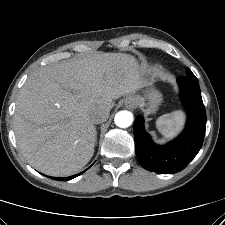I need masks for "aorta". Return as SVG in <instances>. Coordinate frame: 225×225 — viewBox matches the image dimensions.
Instances as JSON below:
<instances>
[{
	"instance_id": "1",
	"label": "aorta",
	"mask_w": 225,
	"mask_h": 225,
	"mask_svg": "<svg viewBox=\"0 0 225 225\" xmlns=\"http://www.w3.org/2000/svg\"><path fill=\"white\" fill-rule=\"evenodd\" d=\"M114 122L120 128H127L133 122V115L126 110L119 111L114 117Z\"/></svg>"
}]
</instances>
